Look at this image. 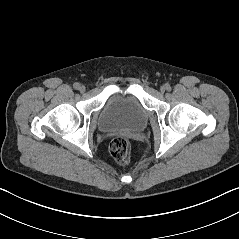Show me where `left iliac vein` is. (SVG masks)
Returning <instances> with one entry per match:
<instances>
[{
  "mask_svg": "<svg viewBox=\"0 0 239 239\" xmlns=\"http://www.w3.org/2000/svg\"><path fill=\"white\" fill-rule=\"evenodd\" d=\"M165 90H166V86H161L160 91H161L162 93H164Z\"/></svg>",
  "mask_w": 239,
  "mask_h": 239,
  "instance_id": "1",
  "label": "left iliac vein"
}]
</instances>
